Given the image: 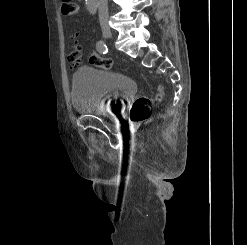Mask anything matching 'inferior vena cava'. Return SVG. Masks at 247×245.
Segmentation results:
<instances>
[{"label":"inferior vena cava","instance_id":"obj_1","mask_svg":"<svg viewBox=\"0 0 247 245\" xmlns=\"http://www.w3.org/2000/svg\"><path fill=\"white\" fill-rule=\"evenodd\" d=\"M99 21L102 27H108V2L107 0H99Z\"/></svg>","mask_w":247,"mask_h":245}]
</instances>
